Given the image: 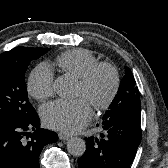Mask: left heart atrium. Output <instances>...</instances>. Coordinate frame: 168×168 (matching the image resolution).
<instances>
[{"label":"left heart atrium","instance_id":"left-heart-atrium-1","mask_svg":"<svg viewBox=\"0 0 168 168\" xmlns=\"http://www.w3.org/2000/svg\"><path fill=\"white\" fill-rule=\"evenodd\" d=\"M42 117L49 128L75 133L85 127L92 118L90 103L84 98L57 100L43 108Z\"/></svg>","mask_w":168,"mask_h":168}]
</instances>
